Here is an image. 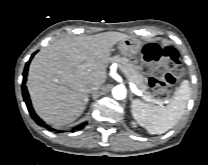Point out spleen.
I'll return each mask as SVG.
<instances>
[{
    "label": "spleen",
    "mask_w": 208,
    "mask_h": 165,
    "mask_svg": "<svg viewBox=\"0 0 208 165\" xmlns=\"http://www.w3.org/2000/svg\"><path fill=\"white\" fill-rule=\"evenodd\" d=\"M191 88L184 80L167 106H155L139 99L132 101L131 113L137 123L150 134H163L173 128L183 116L190 99Z\"/></svg>",
    "instance_id": "obj_1"
}]
</instances>
